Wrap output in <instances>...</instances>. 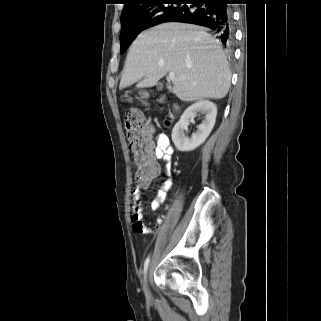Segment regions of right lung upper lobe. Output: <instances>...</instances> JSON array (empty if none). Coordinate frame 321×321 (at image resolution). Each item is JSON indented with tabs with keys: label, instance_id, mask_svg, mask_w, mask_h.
Returning <instances> with one entry per match:
<instances>
[{
	"label": "right lung upper lobe",
	"instance_id": "1",
	"mask_svg": "<svg viewBox=\"0 0 321 321\" xmlns=\"http://www.w3.org/2000/svg\"><path fill=\"white\" fill-rule=\"evenodd\" d=\"M124 8L121 13V18L131 15L138 10H140L142 7L150 4L152 1L156 0H124Z\"/></svg>",
	"mask_w": 321,
	"mask_h": 321
}]
</instances>
